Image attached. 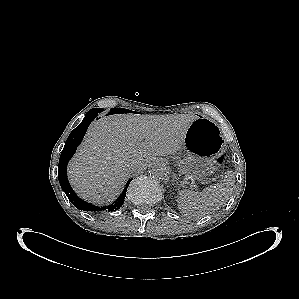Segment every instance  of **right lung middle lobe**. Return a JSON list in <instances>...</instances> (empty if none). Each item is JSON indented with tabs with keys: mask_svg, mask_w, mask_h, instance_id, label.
Listing matches in <instances>:
<instances>
[{
	"mask_svg": "<svg viewBox=\"0 0 299 299\" xmlns=\"http://www.w3.org/2000/svg\"><path fill=\"white\" fill-rule=\"evenodd\" d=\"M102 111H103L102 108H93V109H91L90 111H88L87 114H88V113H93V112L100 113V112H102Z\"/></svg>",
	"mask_w": 299,
	"mask_h": 299,
	"instance_id": "dd1d6c3e",
	"label": "right lung middle lobe"
}]
</instances>
